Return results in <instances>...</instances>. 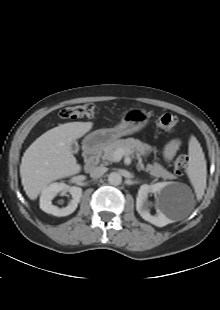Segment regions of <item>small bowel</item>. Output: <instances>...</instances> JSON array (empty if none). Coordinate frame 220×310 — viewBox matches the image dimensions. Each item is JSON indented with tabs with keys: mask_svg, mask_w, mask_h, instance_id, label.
<instances>
[{
	"mask_svg": "<svg viewBox=\"0 0 220 310\" xmlns=\"http://www.w3.org/2000/svg\"><path fill=\"white\" fill-rule=\"evenodd\" d=\"M182 146V140L179 138L171 139L164 147L163 155L167 161H170L174 158L176 153Z\"/></svg>",
	"mask_w": 220,
	"mask_h": 310,
	"instance_id": "c3829d8e",
	"label": "small bowel"
}]
</instances>
